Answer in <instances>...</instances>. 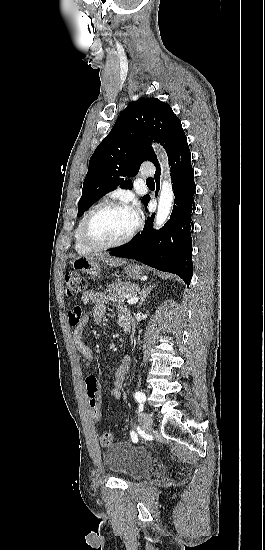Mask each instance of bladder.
I'll return each mask as SVG.
<instances>
[{"mask_svg": "<svg viewBox=\"0 0 265 550\" xmlns=\"http://www.w3.org/2000/svg\"><path fill=\"white\" fill-rule=\"evenodd\" d=\"M103 461L110 472L132 480L145 477L152 466L149 453L126 442H118L107 448L103 453Z\"/></svg>", "mask_w": 265, "mask_h": 550, "instance_id": "obj_1", "label": "bladder"}]
</instances>
